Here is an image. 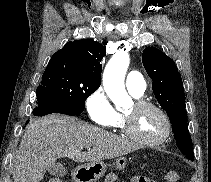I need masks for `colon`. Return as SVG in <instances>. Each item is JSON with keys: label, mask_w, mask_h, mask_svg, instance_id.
<instances>
[{"label": "colon", "mask_w": 211, "mask_h": 182, "mask_svg": "<svg viewBox=\"0 0 211 182\" xmlns=\"http://www.w3.org/2000/svg\"><path fill=\"white\" fill-rule=\"evenodd\" d=\"M115 176V174H109L106 178V182H112ZM164 178L168 182H176L179 178V174L176 171L169 170L165 172ZM48 182H62V180L56 177H52L49 178Z\"/></svg>", "instance_id": "obj_1"}]
</instances>
